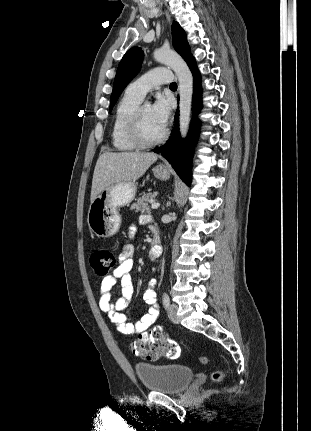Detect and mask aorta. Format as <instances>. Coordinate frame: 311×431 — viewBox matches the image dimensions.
<instances>
[{
	"label": "aorta",
	"mask_w": 311,
	"mask_h": 431,
	"mask_svg": "<svg viewBox=\"0 0 311 431\" xmlns=\"http://www.w3.org/2000/svg\"><path fill=\"white\" fill-rule=\"evenodd\" d=\"M155 62L169 66L175 74H177L179 82V132L181 138H186L190 124L191 102L193 94V78L192 74L184 60L172 52V50H155L153 54ZM150 106V104H146Z\"/></svg>",
	"instance_id": "aorta-1"
}]
</instances>
